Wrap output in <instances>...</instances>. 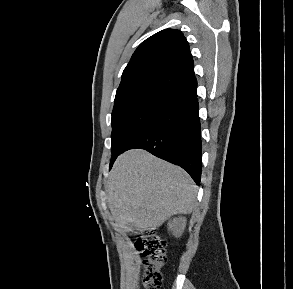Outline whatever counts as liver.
<instances>
[{"instance_id": "liver-1", "label": "liver", "mask_w": 293, "mask_h": 289, "mask_svg": "<svg viewBox=\"0 0 293 289\" xmlns=\"http://www.w3.org/2000/svg\"><path fill=\"white\" fill-rule=\"evenodd\" d=\"M107 192L118 226L127 232H145L160 227L172 215L190 213L197 186L182 168L135 149L116 160Z\"/></svg>"}]
</instances>
